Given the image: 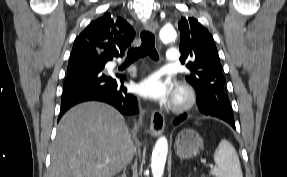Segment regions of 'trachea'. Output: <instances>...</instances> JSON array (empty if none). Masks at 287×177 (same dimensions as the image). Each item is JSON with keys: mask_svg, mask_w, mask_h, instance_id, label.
<instances>
[{"mask_svg": "<svg viewBox=\"0 0 287 177\" xmlns=\"http://www.w3.org/2000/svg\"><path fill=\"white\" fill-rule=\"evenodd\" d=\"M141 40L142 44L139 48H129L126 61H136L146 55L158 60L159 56L155 48L154 34L149 31H142Z\"/></svg>", "mask_w": 287, "mask_h": 177, "instance_id": "obj_1", "label": "trachea"}]
</instances>
